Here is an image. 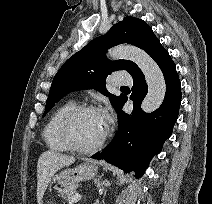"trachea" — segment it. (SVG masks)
Masks as SVG:
<instances>
[{
    "label": "trachea",
    "mask_w": 212,
    "mask_h": 204,
    "mask_svg": "<svg viewBox=\"0 0 212 204\" xmlns=\"http://www.w3.org/2000/svg\"><path fill=\"white\" fill-rule=\"evenodd\" d=\"M122 88H123V89H128V87H126V86H122Z\"/></svg>",
    "instance_id": "trachea-1"
}]
</instances>
